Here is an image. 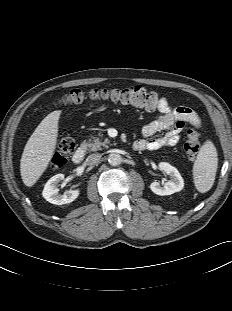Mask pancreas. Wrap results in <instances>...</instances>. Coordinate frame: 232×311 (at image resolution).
I'll list each match as a JSON object with an SVG mask.
<instances>
[{
  "mask_svg": "<svg viewBox=\"0 0 232 311\" xmlns=\"http://www.w3.org/2000/svg\"><path fill=\"white\" fill-rule=\"evenodd\" d=\"M108 144H110L108 139H105L102 142L101 138L91 136L87 142L86 141L83 142L82 148L88 151H98V150H102L103 147H108L107 146Z\"/></svg>",
  "mask_w": 232,
  "mask_h": 311,
  "instance_id": "obj_1",
  "label": "pancreas"
}]
</instances>
